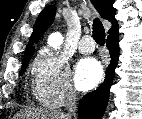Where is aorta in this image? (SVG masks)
Instances as JSON below:
<instances>
[{
  "instance_id": "762f6f07",
  "label": "aorta",
  "mask_w": 142,
  "mask_h": 119,
  "mask_svg": "<svg viewBox=\"0 0 142 119\" xmlns=\"http://www.w3.org/2000/svg\"><path fill=\"white\" fill-rule=\"evenodd\" d=\"M62 41H63L62 35L59 33H54L50 35L48 38V44L55 49L59 48Z\"/></svg>"
}]
</instances>
